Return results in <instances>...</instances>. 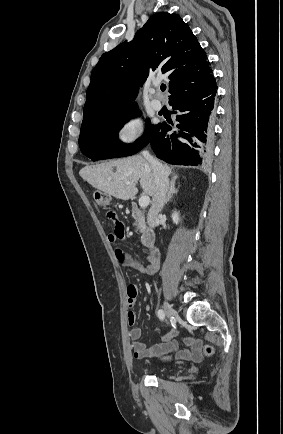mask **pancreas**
<instances>
[{
  "label": "pancreas",
  "mask_w": 283,
  "mask_h": 434,
  "mask_svg": "<svg viewBox=\"0 0 283 434\" xmlns=\"http://www.w3.org/2000/svg\"><path fill=\"white\" fill-rule=\"evenodd\" d=\"M140 231L141 233H144L145 231V223L143 221H138L136 223V231Z\"/></svg>",
  "instance_id": "pancreas-1"
}]
</instances>
